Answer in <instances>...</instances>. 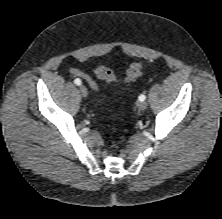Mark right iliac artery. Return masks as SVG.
<instances>
[{
  "instance_id": "82829eb1",
  "label": "right iliac artery",
  "mask_w": 222,
  "mask_h": 219,
  "mask_svg": "<svg viewBox=\"0 0 222 219\" xmlns=\"http://www.w3.org/2000/svg\"><path fill=\"white\" fill-rule=\"evenodd\" d=\"M74 83L76 84V85H81V80L79 79V78H76L75 80H74Z\"/></svg>"
}]
</instances>
